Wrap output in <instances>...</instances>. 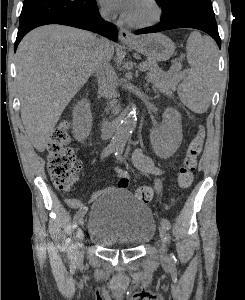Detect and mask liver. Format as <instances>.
<instances>
[{
    "instance_id": "liver-1",
    "label": "liver",
    "mask_w": 245,
    "mask_h": 300,
    "mask_svg": "<svg viewBox=\"0 0 245 300\" xmlns=\"http://www.w3.org/2000/svg\"><path fill=\"white\" fill-rule=\"evenodd\" d=\"M90 32L62 25L32 30L16 52L21 119L37 151L43 152L62 112L92 74L97 41ZM104 56L114 54L104 39Z\"/></svg>"
}]
</instances>
